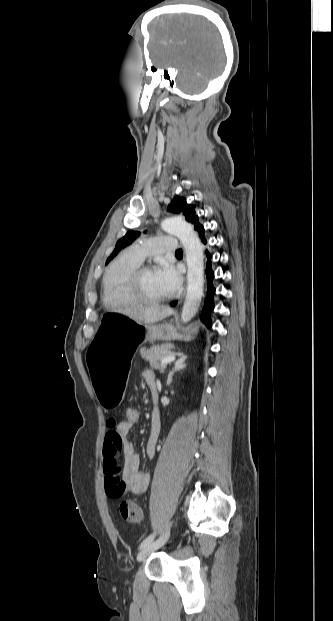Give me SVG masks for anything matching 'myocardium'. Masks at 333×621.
Returning a JSON list of instances; mask_svg holds the SVG:
<instances>
[{
	"label": "myocardium",
	"instance_id": "obj_1",
	"mask_svg": "<svg viewBox=\"0 0 333 621\" xmlns=\"http://www.w3.org/2000/svg\"><path fill=\"white\" fill-rule=\"evenodd\" d=\"M149 265L138 266L128 276L125 282V292L127 296L138 304L157 305L169 299V295L160 298H151L142 293L140 289L141 276L149 271H153Z\"/></svg>",
	"mask_w": 333,
	"mask_h": 621
}]
</instances>
